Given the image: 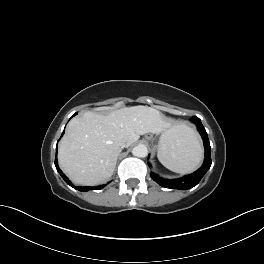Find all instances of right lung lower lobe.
I'll return each mask as SVG.
<instances>
[{"label":"right lung lower lobe","instance_id":"right-lung-lower-lobe-1","mask_svg":"<svg viewBox=\"0 0 264 264\" xmlns=\"http://www.w3.org/2000/svg\"><path fill=\"white\" fill-rule=\"evenodd\" d=\"M75 115V114H74ZM73 115V116H74ZM63 135V134H62ZM55 166H56V169H57V171L59 172V174L62 176V178L65 180V182L67 183V184H69L70 186H72L73 188H75V189H77V190H79V191H88V190H90V189H95V187H81V186H74L73 184H71V182L68 180V178L64 175V173L60 170V168L58 167V163H57V157L55 158ZM104 186H106V185H101V186H98V187H96L97 189H102V188H104Z\"/></svg>","mask_w":264,"mask_h":264}]
</instances>
